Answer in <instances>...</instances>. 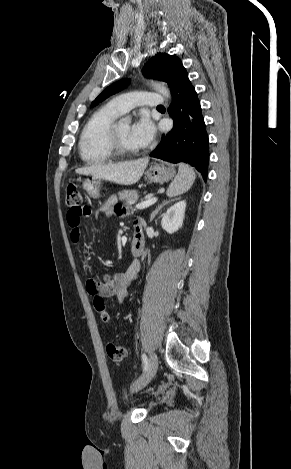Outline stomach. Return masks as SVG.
I'll return each instance as SVG.
<instances>
[{"instance_id":"stomach-1","label":"stomach","mask_w":291,"mask_h":469,"mask_svg":"<svg viewBox=\"0 0 291 469\" xmlns=\"http://www.w3.org/2000/svg\"><path fill=\"white\" fill-rule=\"evenodd\" d=\"M145 176L149 182L163 183L175 176V170L172 167L156 164L145 172ZM83 187L89 196L94 199H98L102 196V179L100 178H87L83 182Z\"/></svg>"}]
</instances>
